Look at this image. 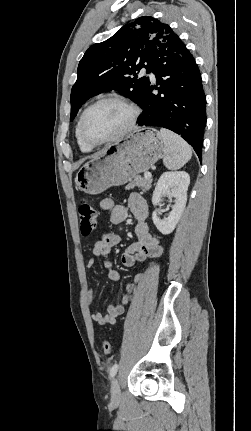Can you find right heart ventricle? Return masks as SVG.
Listing matches in <instances>:
<instances>
[{
  "mask_svg": "<svg viewBox=\"0 0 251 431\" xmlns=\"http://www.w3.org/2000/svg\"><path fill=\"white\" fill-rule=\"evenodd\" d=\"M79 120H80V119H79ZM79 120H78L77 125H76V128H75V137H76V140H77L78 146H79V148H80V150H81L82 152H90V151L93 149V147H90V146L86 145V144L82 141V139H81V137H80V134H79Z\"/></svg>",
  "mask_w": 251,
  "mask_h": 431,
  "instance_id": "right-heart-ventricle-1",
  "label": "right heart ventricle"
}]
</instances>
